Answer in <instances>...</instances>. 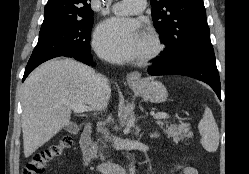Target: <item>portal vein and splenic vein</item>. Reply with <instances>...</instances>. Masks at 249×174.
<instances>
[{
  "label": "portal vein and splenic vein",
  "instance_id": "obj_1",
  "mask_svg": "<svg viewBox=\"0 0 249 174\" xmlns=\"http://www.w3.org/2000/svg\"><path fill=\"white\" fill-rule=\"evenodd\" d=\"M70 109L73 110L75 113H84L92 111V109L84 104H70ZM169 118V115L167 113H157L154 115V119H166Z\"/></svg>",
  "mask_w": 249,
  "mask_h": 174
}]
</instances>
